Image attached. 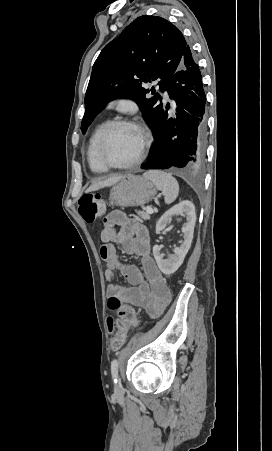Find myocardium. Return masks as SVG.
Returning <instances> with one entry per match:
<instances>
[{
	"label": "myocardium",
	"instance_id": "f54148a6",
	"mask_svg": "<svg viewBox=\"0 0 272 451\" xmlns=\"http://www.w3.org/2000/svg\"><path fill=\"white\" fill-rule=\"evenodd\" d=\"M117 126L126 127L131 130H133L136 134L135 141H134V147L132 150V154L130 158L123 164L117 167H109L105 164L104 158H103V149L108 137L109 132ZM147 139V134L139 124L129 121V120H112L109 121L101 130L97 146H96V155L97 160L100 166V171L102 173L104 172H120L122 170H125L130 164H132L140 155L144 148L145 141Z\"/></svg>",
	"mask_w": 272,
	"mask_h": 451
}]
</instances>
